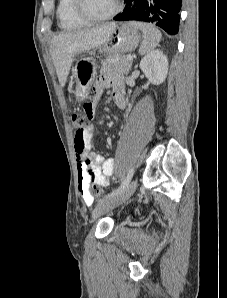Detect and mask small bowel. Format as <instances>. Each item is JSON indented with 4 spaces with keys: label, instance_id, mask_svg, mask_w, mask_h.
I'll return each instance as SVG.
<instances>
[{
    "label": "small bowel",
    "instance_id": "1",
    "mask_svg": "<svg viewBox=\"0 0 227 298\" xmlns=\"http://www.w3.org/2000/svg\"><path fill=\"white\" fill-rule=\"evenodd\" d=\"M108 87L113 88L112 98L115 104L119 108L126 106V100L123 92L121 82L110 76H102L94 85V96L93 99L86 98V103L82 104L83 112L85 115H96L97 111L96 103L104 90ZM90 125L84 133V144L85 149L83 156H80L76 151L77 158V172H78V183L79 191L82 200L87 205H92L93 195L89 191L90 183H94L99 187H107L109 185V178L113 176L115 162L112 158H105L103 155L92 151V138L94 133V125L96 118H89Z\"/></svg>",
    "mask_w": 227,
    "mask_h": 298
}]
</instances>
